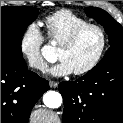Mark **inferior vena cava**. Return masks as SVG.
I'll list each match as a JSON object with an SVG mask.
<instances>
[{
    "mask_svg": "<svg viewBox=\"0 0 123 123\" xmlns=\"http://www.w3.org/2000/svg\"><path fill=\"white\" fill-rule=\"evenodd\" d=\"M30 66L39 68V69H45V63H43L41 60H35L30 62Z\"/></svg>",
    "mask_w": 123,
    "mask_h": 123,
    "instance_id": "1",
    "label": "inferior vena cava"
}]
</instances>
